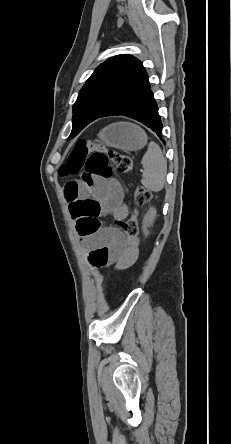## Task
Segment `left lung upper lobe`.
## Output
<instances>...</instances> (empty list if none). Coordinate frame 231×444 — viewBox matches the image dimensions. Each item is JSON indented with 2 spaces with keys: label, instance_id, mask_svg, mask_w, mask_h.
<instances>
[{
  "label": "left lung upper lobe",
  "instance_id": "obj_1",
  "mask_svg": "<svg viewBox=\"0 0 231 444\" xmlns=\"http://www.w3.org/2000/svg\"><path fill=\"white\" fill-rule=\"evenodd\" d=\"M147 79L142 63L130 55H118L100 64L73 105V129L69 139L90 122L115 115Z\"/></svg>",
  "mask_w": 231,
  "mask_h": 444
}]
</instances>
